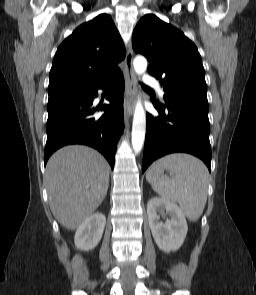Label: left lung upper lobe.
Segmentation results:
<instances>
[{"instance_id": "left-lung-upper-lobe-1", "label": "left lung upper lobe", "mask_w": 256, "mask_h": 295, "mask_svg": "<svg viewBox=\"0 0 256 295\" xmlns=\"http://www.w3.org/2000/svg\"><path fill=\"white\" fill-rule=\"evenodd\" d=\"M132 44L149 60L148 73L160 80L165 105L185 104L208 110L201 56L180 30L147 14L135 27Z\"/></svg>"}]
</instances>
